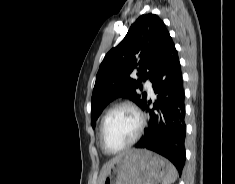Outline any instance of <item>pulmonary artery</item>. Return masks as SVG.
I'll use <instances>...</instances> for the list:
<instances>
[{
    "label": "pulmonary artery",
    "instance_id": "pulmonary-artery-1",
    "mask_svg": "<svg viewBox=\"0 0 235 184\" xmlns=\"http://www.w3.org/2000/svg\"><path fill=\"white\" fill-rule=\"evenodd\" d=\"M146 88H147V90H148V92H149L150 94L153 93L152 84H151L150 81H147V82H146Z\"/></svg>",
    "mask_w": 235,
    "mask_h": 184
}]
</instances>
